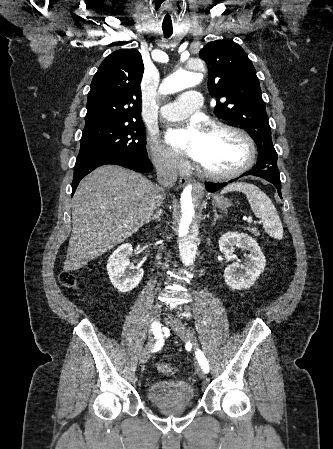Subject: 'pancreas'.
Returning a JSON list of instances; mask_svg holds the SVG:
<instances>
[{
	"label": "pancreas",
	"mask_w": 333,
	"mask_h": 449,
	"mask_svg": "<svg viewBox=\"0 0 333 449\" xmlns=\"http://www.w3.org/2000/svg\"><path fill=\"white\" fill-rule=\"evenodd\" d=\"M251 233H253L255 236H259V232L256 228H250L249 229Z\"/></svg>",
	"instance_id": "1"
}]
</instances>
